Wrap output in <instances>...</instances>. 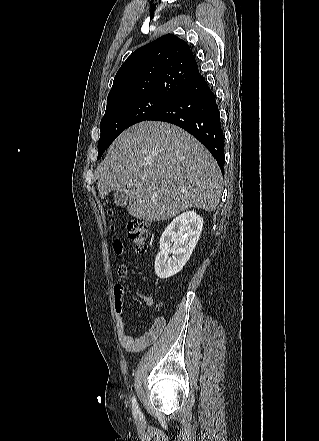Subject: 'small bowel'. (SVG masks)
Masks as SVG:
<instances>
[{"mask_svg": "<svg viewBox=\"0 0 319 441\" xmlns=\"http://www.w3.org/2000/svg\"><path fill=\"white\" fill-rule=\"evenodd\" d=\"M114 251L117 255H121L123 251L122 244L118 247H114ZM128 275V270L126 266L122 265L117 270L118 282L113 286V304L115 311V320L117 327V337L121 346L130 351H142L152 345L162 334L165 326L166 320L163 317H156L151 324V326L145 331L140 337H133L130 335L125 328L123 313H124V285L123 281ZM136 296L146 305H154V300L152 297L144 295L138 291H135ZM159 306H156L158 309Z\"/></svg>", "mask_w": 319, "mask_h": 441, "instance_id": "1", "label": "small bowel"}]
</instances>
